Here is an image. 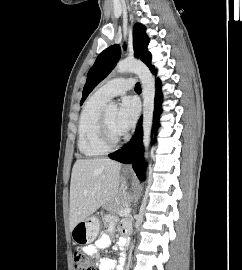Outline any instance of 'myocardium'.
Listing matches in <instances>:
<instances>
[{"instance_id":"f54148a6","label":"myocardium","mask_w":242,"mask_h":270,"mask_svg":"<svg viewBox=\"0 0 242 270\" xmlns=\"http://www.w3.org/2000/svg\"><path fill=\"white\" fill-rule=\"evenodd\" d=\"M124 139L125 134L116 139L113 137L107 121L106 111H103L99 121V140L103 147H105L108 151L113 150L119 147Z\"/></svg>"}]
</instances>
